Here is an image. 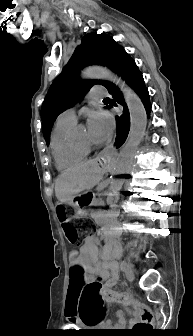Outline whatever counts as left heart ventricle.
Listing matches in <instances>:
<instances>
[{
	"label": "left heart ventricle",
	"mask_w": 193,
	"mask_h": 336,
	"mask_svg": "<svg viewBox=\"0 0 193 336\" xmlns=\"http://www.w3.org/2000/svg\"><path fill=\"white\" fill-rule=\"evenodd\" d=\"M78 141L80 142H93L89 136V133L87 130H83L81 134L78 137Z\"/></svg>",
	"instance_id": "b2bd125f"
}]
</instances>
